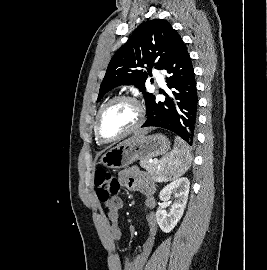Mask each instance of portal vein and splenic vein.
I'll list each match as a JSON object with an SVG mask.
<instances>
[{
    "label": "portal vein and splenic vein",
    "instance_id": "portal-vein-and-splenic-vein-1",
    "mask_svg": "<svg viewBox=\"0 0 267 270\" xmlns=\"http://www.w3.org/2000/svg\"><path fill=\"white\" fill-rule=\"evenodd\" d=\"M154 162H155V163H158V161H157V160H155Z\"/></svg>",
    "mask_w": 267,
    "mask_h": 270
}]
</instances>
